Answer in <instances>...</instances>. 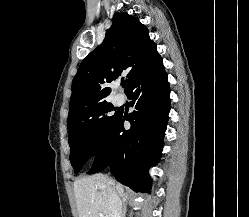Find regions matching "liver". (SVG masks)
<instances>
[{
    "label": "liver",
    "instance_id": "obj_1",
    "mask_svg": "<svg viewBox=\"0 0 249 217\" xmlns=\"http://www.w3.org/2000/svg\"><path fill=\"white\" fill-rule=\"evenodd\" d=\"M112 188L122 199L127 198L123 186L103 174L76 180L74 194L79 217H98L99 213L110 217L109 195Z\"/></svg>",
    "mask_w": 249,
    "mask_h": 217
}]
</instances>
